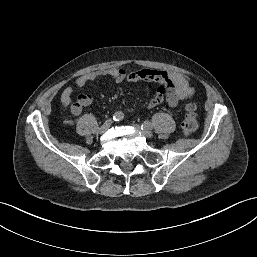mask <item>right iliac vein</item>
<instances>
[{
    "label": "right iliac vein",
    "mask_w": 257,
    "mask_h": 257,
    "mask_svg": "<svg viewBox=\"0 0 257 257\" xmlns=\"http://www.w3.org/2000/svg\"><path fill=\"white\" fill-rule=\"evenodd\" d=\"M111 123H112L111 120L106 121V122L99 128V133H100V134L105 133V132L109 129V127L111 126Z\"/></svg>",
    "instance_id": "63e3f726"
}]
</instances>
